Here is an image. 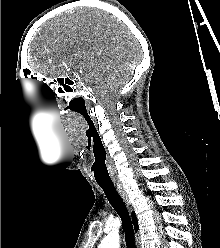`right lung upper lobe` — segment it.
I'll return each instance as SVG.
<instances>
[{
  "mask_svg": "<svg viewBox=\"0 0 220 248\" xmlns=\"http://www.w3.org/2000/svg\"><path fill=\"white\" fill-rule=\"evenodd\" d=\"M132 219H133L134 228L136 230H138L137 218H136V215L134 214V212H132Z\"/></svg>",
  "mask_w": 220,
  "mask_h": 248,
  "instance_id": "right-lung-upper-lobe-1",
  "label": "right lung upper lobe"
}]
</instances>
